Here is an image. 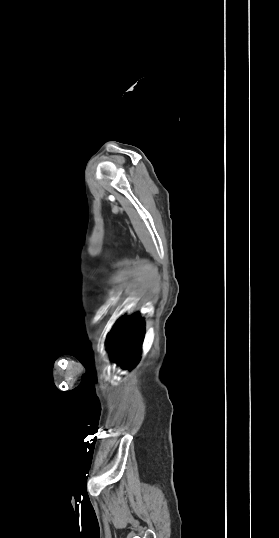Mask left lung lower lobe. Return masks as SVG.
Here are the masks:
<instances>
[{"label":"left lung lower lobe","instance_id":"obj_1","mask_svg":"<svg viewBox=\"0 0 279 538\" xmlns=\"http://www.w3.org/2000/svg\"><path fill=\"white\" fill-rule=\"evenodd\" d=\"M144 333V321L139 314L120 318L108 335L112 359L125 369L135 367L140 360Z\"/></svg>","mask_w":279,"mask_h":538}]
</instances>
